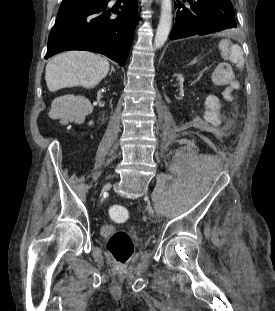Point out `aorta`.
Wrapping results in <instances>:
<instances>
[{"mask_svg": "<svg viewBox=\"0 0 275 311\" xmlns=\"http://www.w3.org/2000/svg\"><path fill=\"white\" fill-rule=\"evenodd\" d=\"M172 19L173 16L171 0H162L160 21L154 40L155 48H161L165 44L170 33Z\"/></svg>", "mask_w": 275, "mask_h": 311, "instance_id": "aorta-1", "label": "aorta"}]
</instances>
